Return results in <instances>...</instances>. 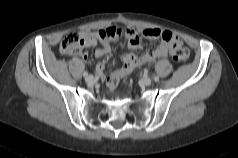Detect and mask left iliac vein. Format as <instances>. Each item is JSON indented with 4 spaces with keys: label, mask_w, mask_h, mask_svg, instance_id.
Listing matches in <instances>:
<instances>
[{
    "label": "left iliac vein",
    "mask_w": 238,
    "mask_h": 158,
    "mask_svg": "<svg viewBox=\"0 0 238 158\" xmlns=\"http://www.w3.org/2000/svg\"><path fill=\"white\" fill-rule=\"evenodd\" d=\"M142 82H143L144 85L149 86V85H151V83H152V79L146 77V78H144V79L142 80Z\"/></svg>",
    "instance_id": "1"
}]
</instances>
